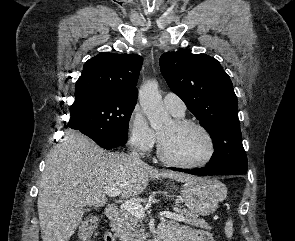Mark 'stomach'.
I'll list each match as a JSON object with an SVG mask.
<instances>
[{"label":"stomach","mask_w":295,"mask_h":241,"mask_svg":"<svg viewBox=\"0 0 295 241\" xmlns=\"http://www.w3.org/2000/svg\"><path fill=\"white\" fill-rule=\"evenodd\" d=\"M226 194L225 185L215 179L186 182L181 187L183 202L193 214L200 216L214 213Z\"/></svg>","instance_id":"1"}]
</instances>
